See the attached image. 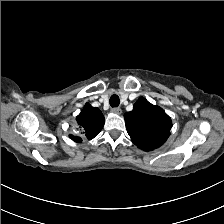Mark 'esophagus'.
<instances>
[{"instance_id":"34e87169","label":"esophagus","mask_w":224,"mask_h":224,"mask_svg":"<svg viewBox=\"0 0 224 224\" xmlns=\"http://www.w3.org/2000/svg\"><path fill=\"white\" fill-rule=\"evenodd\" d=\"M111 112L114 113V114H121L122 111H121L120 108H112Z\"/></svg>"}]
</instances>
